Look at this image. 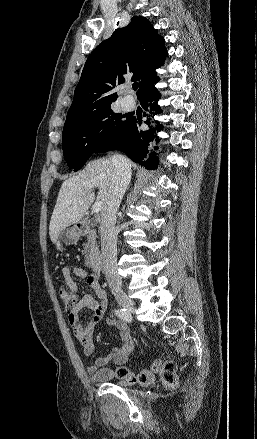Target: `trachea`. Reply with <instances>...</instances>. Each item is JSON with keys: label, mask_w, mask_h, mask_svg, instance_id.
<instances>
[{"label": "trachea", "mask_w": 257, "mask_h": 439, "mask_svg": "<svg viewBox=\"0 0 257 439\" xmlns=\"http://www.w3.org/2000/svg\"><path fill=\"white\" fill-rule=\"evenodd\" d=\"M132 87H133L134 90H137V89H138V83H137V82H134L133 85H132Z\"/></svg>", "instance_id": "3493384b"}]
</instances>
